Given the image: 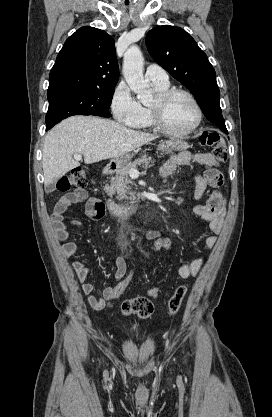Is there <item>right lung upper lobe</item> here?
<instances>
[{
  "label": "right lung upper lobe",
  "mask_w": 272,
  "mask_h": 417,
  "mask_svg": "<svg viewBox=\"0 0 272 417\" xmlns=\"http://www.w3.org/2000/svg\"><path fill=\"white\" fill-rule=\"evenodd\" d=\"M119 78L114 39L106 32L81 27L65 42L49 76L48 92L108 89Z\"/></svg>",
  "instance_id": "obj_1"
}]
</instances>
